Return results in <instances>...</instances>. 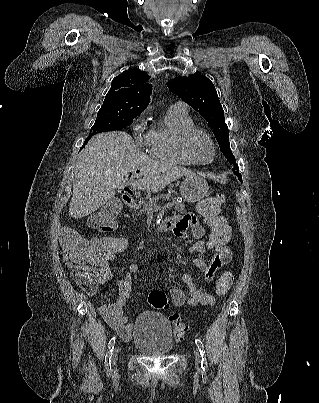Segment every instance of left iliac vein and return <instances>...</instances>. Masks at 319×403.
<instances>
[{
  "mask_svg": "<svg viewBox=\"0 0 319 403\" xmlns=\"http://www.w3.org/2000/svg\"><path fill=\"white\" fill-rule=\"evenodd\" d=\"M194 355H195V364L199 368L201 364V356L197 349L194 350Z\"/></svg>",
  "mask_w": 319,
  "mask_h": 403,
  "instance_id": "1",
  "label": "left iliac vein"
}]
</instances>
